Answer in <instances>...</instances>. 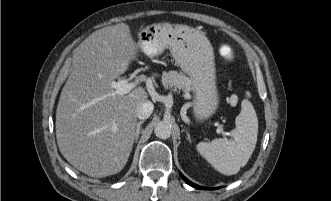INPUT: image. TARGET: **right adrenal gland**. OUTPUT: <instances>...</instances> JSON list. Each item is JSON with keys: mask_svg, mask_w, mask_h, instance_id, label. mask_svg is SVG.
Segmentation results:
<instances>
[{"mask_svg": "<svg viewBox=\"0 0 331 201\" xmlns=\"http://www.w3.org/2000/svg\"><path fill=\"white\" fill-rule=\"evenodd\" d=\"M144 123V121H139L137 124H136V133H135V142L138 141V138H139V135H140V130H141V125Z\"/></svg>", "mask_w": 331, "mask_h": 201, "instance_id": "2a0ac1e0", "label": "right adrenal gland"}]
</instances>
